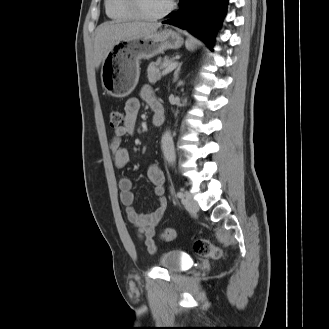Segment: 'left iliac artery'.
<instances>
[{
	"mask_svg": "<svg viewBox=\"0 0 329 329\" xmlns=\"http://www.w3.org/2000/svg\"><path fill=\"white\" fill-rule=\"evenodd\" d=\"M177 197L181 198V199L184 198V193L182 191H178L177 192Z\"/></svg>",
	"mask_w": 329,
	"mask_h": 329,
	"instance_id": "obj_1",
	"label": "left iliac artery"
}]
</instances>
